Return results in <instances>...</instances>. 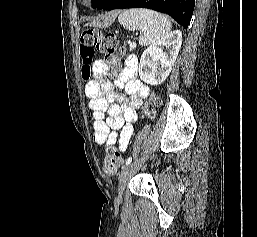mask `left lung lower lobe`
Returning a JSON list of instances; mask_svg holds the SVG:
<instances>
[{"instance_id":"left-lung-lower-lobe-1","label":"left lung lower lobe","mask_w":257,"mask_h":237,"mask_svg":"<svg viewBox=\"0 0 257 237\" xmlns=\"http://www.w3.org/2000/svg\"><path fill=\"white\" fill-rule=\"evenodd\" d=\"M195 6V0H109L104 10L148 8L166 13L187 29Z\"/></svg>"}]
</instances>
